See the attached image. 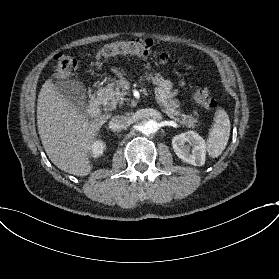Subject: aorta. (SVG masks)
Instances as JSON below:
<instances>
[{"label":"aorta","mask_w":279,"mask_h":279,"mask_svg":"<svg viewBox=\"0 0 279 279\" xmlns=\"http://www.w3.org/2000/svg\"><path fill=\"white\" fill-rule=\"evenodd\" d=\"M158 129V123L153 119H148L140 124V131L145 135L154 134Z\"/></svg>","instance_id":"obj_1"}]
</instances>
